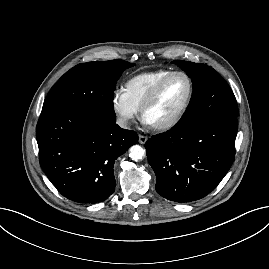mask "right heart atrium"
Listing matches in <instances>:
<instances>
[{
  "mask_svg": "<svg viewBox=\"0 0 269 269\" xmlns=\"http://www.w3.org/2000/svg\"><path fill=\"white\" fill-rule=\"evenodd\" d=\"M111 107L118 124L123 128H128L138 113V110L129 102L123 90L114 91L111 98Z\"/></svg>",
  "mask_w": 269,
  "mask_h": 269,
  "instance_id": "d8ad5b80",
  "label": "right heart atrium"
}]
</instances>
